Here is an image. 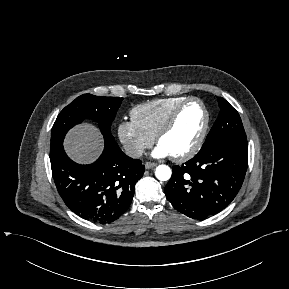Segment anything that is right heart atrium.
<instances>
[{
    "label": "right heart atrium",
    "mask_w": 289,
    "mask_h": 289,
    "mask_svg": "<svg viewBox=\"0 0 289 289\" xmlns=\"http://www.w3.org/2000/svg\"><path fill=\"white\" fill-rule=\"evenodd\" d=\"M117 134L125 151L134 158L140 157L154 142V138L133 120L121 121L117 127Z\"/></svg>",
    "instance_id": "right-heart-atrium-1"
}]
</instances>
